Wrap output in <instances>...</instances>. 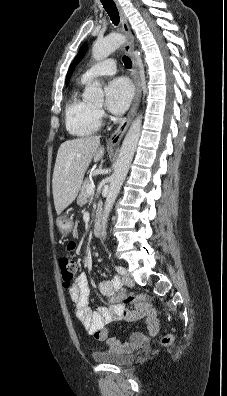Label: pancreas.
Returning <instances> with one entry per match:
<instances>
[{
    "label": "pancreas",
    "mask_w": 227,
    "mask_h": 396,
    "mask_svg": "<svg viewBox=\"0 0 227 396\" xmlns=\"http://www.w3.org/2000/svg\"><path fill=\"white\" fill-rule=\"evenodd\" d=\"M92 184V181L89 178H86L82 184L80 194L77 199V203L82 206L87 202V198L89 194L87 193V188Z\"/></svg>",
    "instance_id": "pancreas-1"
}]
</instances>
